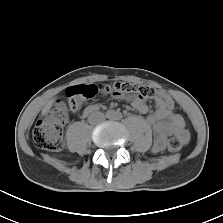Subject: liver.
I'll list each match as a JSON object with an SVG mask.
<instances>
[{"label":"liver","instance_id":"1","mask_svg":"<svg viewBox=\"0 0 223 223\" xmlns=\"http://www.w3.org/2000/svg\"><path fill=\"white\" fill-rule=\"evenodd\" d=\"M53 102H54V99H52V100H50V101H48V102L46 103V105H45L44 108L42 109V115H45V114L50 110V108H51L52 105H53Z\"/></svg>","mask_w":223,"mask_h":223}]
</instances>
